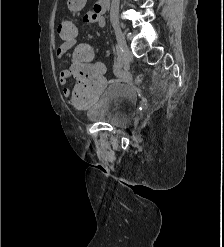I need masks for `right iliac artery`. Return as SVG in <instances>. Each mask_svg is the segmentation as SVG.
Instances as JSON below:
<instances>
[{
	"mask_svg": "<svg viewBox=\"0 0 224 247\" xmlns=\"http://www.w3.org/2000/svg\"><path fill=\"white\" fill-rule=\"evenodd\" d=\"M116 54H117V65H116V71L118 72L122 66H123V58L121 56V50L118 45L115 46Z\"/></svg>",
	"mask_w": 224,
	"mask_h": 247,
	"instance_id": "1",
	"label": "right iliac artery"
}]
</instances>
